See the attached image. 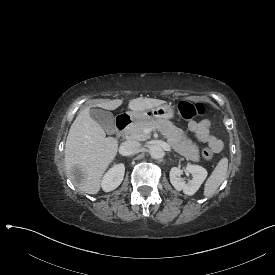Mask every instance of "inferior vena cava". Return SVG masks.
<instances>
[{"mask_svg": "<svg viewBox=\"0 0 275 275\" xmlns=\"http://www.w3.org/2000/svg\"><path fill=\"white\" fill-rule=\"evenodd\" d=\"M140 148V143L135 140H127L122 143L120 151L122 155L129 156L135 154Z\"/></svg>", "mask_w": 275, "mask_h": 275, "instance_id": "obj_1", "label": "inferior vena cava"}]
</instances>
